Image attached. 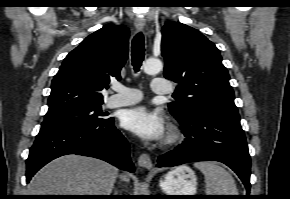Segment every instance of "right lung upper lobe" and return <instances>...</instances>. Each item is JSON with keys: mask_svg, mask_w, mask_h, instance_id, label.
I'll use <instances>...</instances> for the list:
<instances>
[{"mask_svg": "<svg viewBox=\"0 0 290 199\" xmlns=\"http://www.w3.org/2000/svg\"><path fill=\"white\" fill-rule=\"evenodd\" d=\"M129 30L112 24L85 38L63 61L52 80L47 114L103 103L102 91L120 80L128 56Z\"/></svg>", "mask_w": 290, "mask_h": 199, "instance_id": "cb5924a9", "label": "right lung upper lobe"}]
</instances>
